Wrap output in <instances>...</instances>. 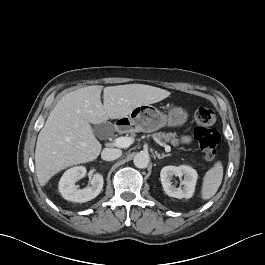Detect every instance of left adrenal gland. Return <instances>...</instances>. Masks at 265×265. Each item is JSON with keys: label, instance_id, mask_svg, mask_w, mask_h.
<instances>
[{"label": "left adrenal gland", "instance_id": "obj_1", "mask_svg": "<svg viewBox=\"0 0 265 265\" xmlns=\"http://www.w3.org/2000/svg\"><path fill=\"white\" fill-rule=\"evenodd\" d=\"M155 154H156V156H157L158 159H162L164 157H168V156L171 155V154H162V155H160L157 151H155Z\"/></svg>", "mask_w": 265, "mask_h": 265}]
</instances>
